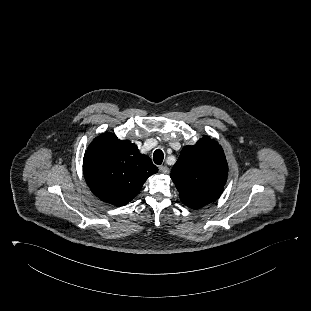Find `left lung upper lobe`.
Segmentation results:
<instances>
[{
	"instance_id": "obj_1",
	"label": "left lung upper lobe",
	"mask_w": 311,
	"mask_h": 311,
	"mask_svg": "<svg viewBox=\"0 0 311 311\" xmlns=\"http://www.w3.org/2000/svg\"><path fill=\"white\" fill-rule=\"evenodd\" d=\"M228 164L222 147L208 136L185 146L171 170L181 201L199 209L216 201L227 180Z\"/></svg>"
}]
</instances>
